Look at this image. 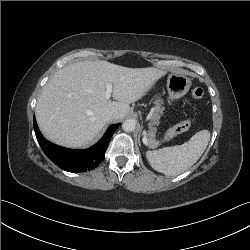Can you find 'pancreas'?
Returning <instances> with one entry per match:
<instances>
[{
    "instance_id": "cf45deb5",
    "label": "pancreas",
    "mask_w": 250,
    "mask_h": 250,
    "mask_svg": "<svg viewBox=\"0 0 250 250\" xmlns=\"http://www.w3.org/2000/svg\"><path fill=\"white\" fill-rule=\"evenodd\" d=\"M154 104L155 106L153 108L151 121L153 122V124H158L161 114L163 113V110H164V107H162L163 100L158 98L154 102ZM155 135H156V128L153 126H150L149 131H148V142H149V145L152 147H156L159 144V142L155 140ZM167 137H172V135L167 134Z\"/></svg>"
}]
</instances>
